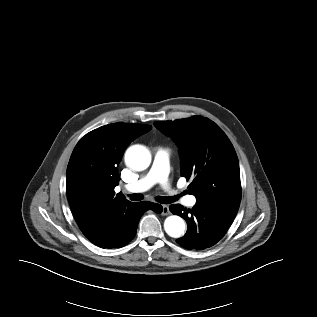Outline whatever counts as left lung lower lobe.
<instances>
[{
    "mask_svg": "<svg viewBox=\"0 0 317 317\" xmlns=\"http://www.w3.org/2000/svg\"><path fill=\"white\" fill-rule=\"evenodd\" d=\"M240 203L197 199L192 209L170 205L173 214L187 222V232L177 243L189 250H203L215 245L232 224Z\"/></svg>",
    "mask_w": 317,
    "mask_h": 317,
    "instance_id": "0a47b994",
    "label": "left lung lower lobe"
}]
</instances>
